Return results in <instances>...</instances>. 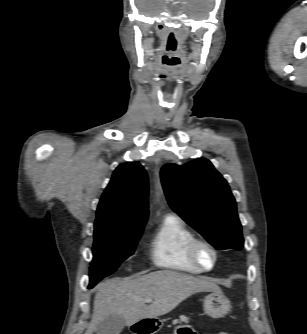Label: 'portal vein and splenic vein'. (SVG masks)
I'll return each mask as SVG.
<instances>
[{"label":"portal vein and splenic vein","instance_id":"obj_1","mask_svg":"<svg viewBox=\"0 0 307 334\" xmlns=\"http://www.w3.org/2000/svg\"><path fill=\"white\" fill-rule=\"evenodd\" d=\"M145 302H146V303H150V302H152V298H148V299H146Z\"/></svg>","mask_w":307,"mask_h":334}]
</instances>
